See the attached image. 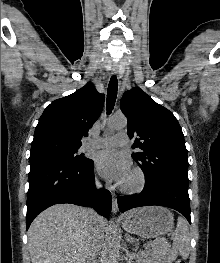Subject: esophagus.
<instances>
[{
	"label": "esophagus",
	"mask_w": 220,
	"mask_h": 263,
	"mask_svg": "<svg viewBox=\"0 0 220 263\" xmlns=\"http://www.w3.org/2000/svg\"><path fill=\"white\" fill-rule=\"evenodd\" d=\"M112 73L117 74L118 73V67L114 66L112 68ZM112 212L113 214H116L118 212V202H117V197L115 194H112Z\"/></svg>",
	"instance_id": "esophagus-1"
}]
</instances>
